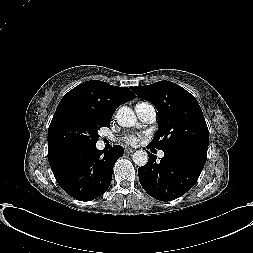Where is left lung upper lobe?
Segmentation results:
<instances>
[{"instance_id":"obj_1","label":"left lung upper lobe","mask_w":253,"mask_h":253,"mask_svg":"<svg viewBox=\"0 0 253 253\" xmlns=\"http://www.w3.org/2000/svg\"><path fill=\"white\" fill-rule=\"evenodd\" d=\"M131 89L140 98L154 104L159 112L158 131L151 147L162 151H190L207 157L208 127L192 94L166 80Z\"/></svg>"}]
</instances>
